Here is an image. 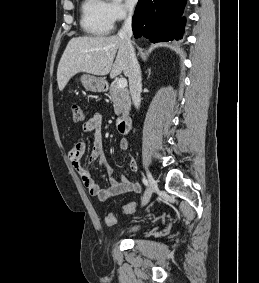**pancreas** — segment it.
<instances>
[{
    "instance_id": "1",
    "label": "pancreas",
    "mask_w": 259,
    "mask_h": 283,
    "mask_svg": "<svg viewBox=\"0 0 259 283\" xmlns=\"http://www.w3.org/2000/svg\"><path fill=\"white\" fill-rule=\"evenodd\" d=\"M110 100L113 102L114 112L116 115L129 112L131 100L129 97V91L126 88L121 89L117 85H112L110 87Z\"/></svg>"
}]
</instances>
